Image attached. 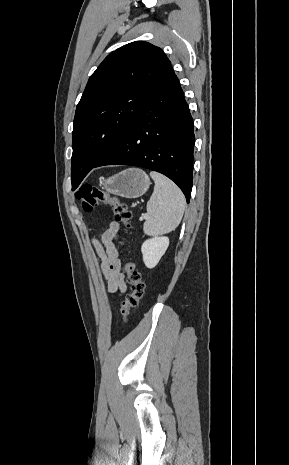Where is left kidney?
<instances>
[{
  "label": "left kidney",
  "instance_id": "obj_1",
  "mask_svg": "<svg viewBox=\"0 0 289 465\" xmlns=\"http://www.w3.org/2000/svg\"><path fill=\"white\" fill-rule=\"evenodd\" d=\"M169 246L168 237H153L144 241L141 246L143 262L147 268H154Z\"/></svg>",
  "mask_w": 289,
  "mask_h": 465
}]
</instances>
